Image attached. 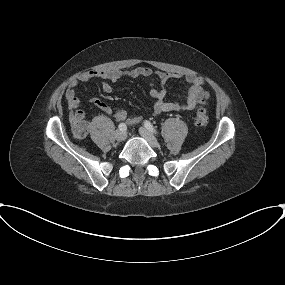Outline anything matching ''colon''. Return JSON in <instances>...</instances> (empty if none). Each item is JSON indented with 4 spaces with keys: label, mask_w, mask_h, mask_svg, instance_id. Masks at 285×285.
<instances>
[{
    "label": "colon",
    "mask_w": 285,
    "mask_h": 285,
    "mask_svg": "<svg viewBox=\"0 0 285 285\" xmlns=\"http://www.w3.org/2000/svg\"><path fill=\"white\" fill-rule=\"evenodd\" d=\"M208 113L204 102L202 101L196 111L195 125L198 128H204L208 124ZM88 132V124L84 120H78L73 125V134L75 138H84Z\"/></svg>",
    "instance_id": "obj_1"
}]
</instances>
